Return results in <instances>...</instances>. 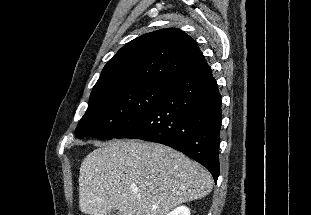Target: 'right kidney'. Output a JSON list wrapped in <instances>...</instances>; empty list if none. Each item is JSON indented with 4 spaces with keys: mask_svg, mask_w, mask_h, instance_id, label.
Segmentation results:
<instances>
[{
    "mask_svg": "<svg viewBox=\"0 0 311 215\" xmlns=\"http://www.w3.org/2000/svg\"><path fill=\"white\" fill-rule=\"evenodd\" d=\"M167 215H190V210L186 206H179Z\"/></svg>",
    "mask_w": 311,
    "mask_h": 215,
    "instance_id": "obj_1",
    "label": "right kidney"
}]
</instances>
